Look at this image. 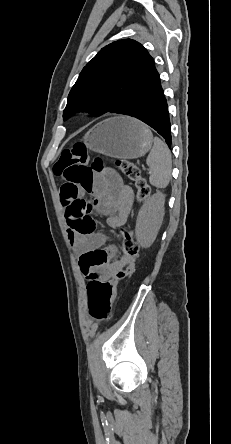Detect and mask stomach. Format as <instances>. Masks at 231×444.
I'll list each match as a JSON object with an SVG mask.
<instances>
[{"label": "stomach", "mask_w": 231, "mask_h": 444, "mask_svg": "<svg viewBox=\"0 0 231 444\" xmlns=\"http://www.w3.org/2000/svg\"><path fill=\"white\" fill-rule=\"evenodd\" d=\"M83 142L88 149L110 157L135 159L150 150L153 136L139 120L116 116L96 124L85 134Z\"/></svg>", "instance_id": "1"}]
</instances>
